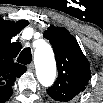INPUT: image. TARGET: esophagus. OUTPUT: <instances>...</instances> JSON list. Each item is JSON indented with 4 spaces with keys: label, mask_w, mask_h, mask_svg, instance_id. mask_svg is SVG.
Masks as SVG:
<instances>
[{
    "label": "esophagus",
    "mask_w": 103,
    "mask_h": 103,
    "mask_svg": "<svg viewBox=\"0 0 103 103\" xmlns=\"http://www.w3.org/2000/svg\"><path fill=\"white\" fill-rule=\"evenodd\" d=\"M34 69H35V66H34L33 63H31V64L28 65V71H29V72H33Z\"/></svg>",
    "instance_id": "34e87169"
}]
</instances>
